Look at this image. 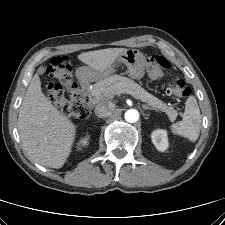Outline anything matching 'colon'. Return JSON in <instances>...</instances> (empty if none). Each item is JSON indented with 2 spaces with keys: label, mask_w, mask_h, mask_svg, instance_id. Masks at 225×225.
I'll return each mask as SVG.
<instances>
[{
  "label": "colon",
  "mask_w": 225,
  "mask_h": 225,
  "mask_svg": "<svg viewBox=\"0 0 225 225\" xmlns=\"http://www.w3.org/2000/svg\"><path fill=\"white\" fill-rule=\"evenodd\" d=\"M146 69L153 78L161 77L170 69V64L162 56L151 55L146 60ZM48 75L55 79L47 87L50 102L66 116L84 119L89 115V105L79 91L71 75V65L64 56H56L47 66ZM169 95L186 98L191 90L181 78L172 80L167 89Z\"/></svg>",
  "instance_id": "colon-1"
}]
</instances>
